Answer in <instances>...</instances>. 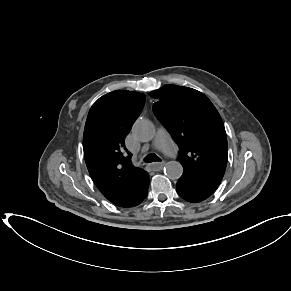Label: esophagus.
Listing matches in <instances>:
<instances>
[{
    "instance_id": "esophagus-1",
    "label": "esophagus",
    "mask_w": 291,
    "mask_h": 291,
    "mask_svg": "<svg viewBox=\"0 0 291 291\" xmlns=\"http://www.w3.org/2000/svg\"><path fill=\"white\" fill-rule=\"evenodd\" d=\"M164 165H165V162L162 161V162L152 163V164L150 165V167H151V169H152L153 171H160V170L163 168Z\"/></svg>"
}]
</instances>
